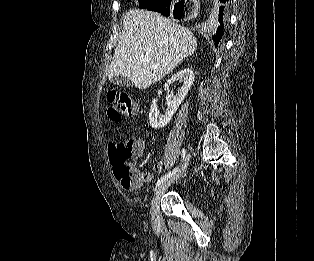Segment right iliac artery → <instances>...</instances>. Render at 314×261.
Segmentation results:
<instances>
[{
  "label": "right iliac artery",
  "mask_w": 314,
  "mask_h": 261,
  "mask_svg": "<svg viewBox=\"0 0 314 261\" xmlns=\"http://www.w3.org/2000/svg\"><path fill=\"white\" fill-rule=\"evenodd\" d=\"M182 161L184 160L185 156H186V150L183 148L182 149ZM179 169V166L177 168H175L174 170L168 172L167 174H165L164 176H162L156 183V188L159 187L161 185V183H163L164 181H166L168 178L172 177Z\"/></svg>",
  "instance_id": "82829eb1"
}]
</instances>
